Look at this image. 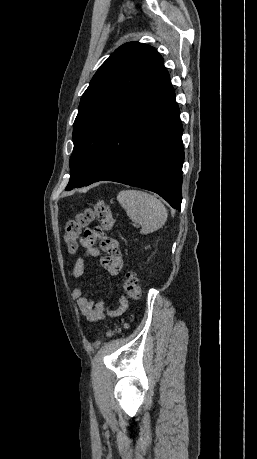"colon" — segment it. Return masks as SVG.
<instances>
[{"label": "colon", "instance_id": "obj_1", "mask_svg": "<svg viewBox=\"0 0 257 459\" xmlns=\"http://www.w3.org/2000/svg\"><path fill=\"white\" fill-rule=\"evenodd\" d=\"M94 219L101 222L105 230H111L114 226V217L108 203L104 200L97 201L93 206L87 207L78 213L75 217L69 220L66 224L65 242L71 252L77 250L79 246V239L81 232L86 228ZM123 290L130 298L137 299L141 296V285L139 279L133 274H127L123 280ZM127 322L120 320V325L115 331H120L121 328H126ZM113 331L109 330L108 335Z\"/></svg>", "mask_w": 257, "mask_h": 459}]
</instances>
